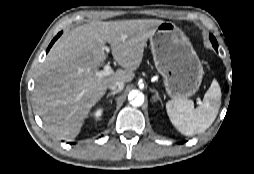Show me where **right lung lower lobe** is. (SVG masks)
<instances>
[{"instance_id": "1", "label": "right lung lower lobe", "mask_w": 254, "mask_h": 174, "mask_svg": "<svg viewBox=\"0 0 254 174\" xmlns=\"http://www.w3.org/2000/svg\"><path fill=\"white\" fill-rule=\"evenodd\" d=\"M62 34V32H60L53 40L52 42L50 43L48 49H47V52L50 50L51 46L53 45V43L57 40V38Z\"/></svg>"}]
</instances>
